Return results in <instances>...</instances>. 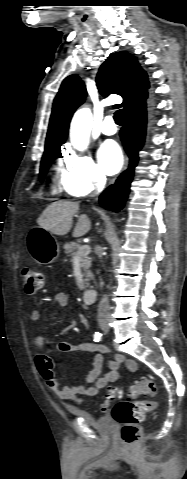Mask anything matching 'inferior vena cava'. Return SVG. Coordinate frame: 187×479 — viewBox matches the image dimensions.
I'll use <instances>...</instances> for the list:
<instances>
[{
	"instance_id": "inferior-vena-cava-1",
	"label": "inferior vena cava",
	"mask_w": 187,
	"mask_h": 479,
	"mask_svg": "<svg viewBox=\"0 0 187 479\" xmlns=\"http://www.w3.org/2000/svg\"><path fill=\"white\" fill-rule=\"evenodd\" d=\"M105 179H101L98 184V188L103 187ZM93 196V195H91ZM110 316V304L107 295H103L98 306V320L106 319Z\"/></svg>"
}]
</instances>
